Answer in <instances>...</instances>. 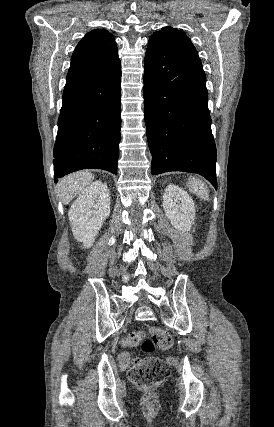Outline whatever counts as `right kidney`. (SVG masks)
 Listing matches in <instances>:
<instances>
[{
  "mask_svg": "<svg viewBox=\"0 0 274 427\" xmlns=\"http://www.w3.org/2000/svg\"><path fill=\"white\" fill-rule=\"evenodd\" d=\"M109 214L110 194L106 184L93 182L86 186L77 196L68 214L75 239L82 241L84 247H91Z\"/></svg>",
  "mask_w": 274,
  "mask_h": 427,
  "instance_id": "ca27d5eb",
  "label": "right kidney"
}]
</instances>
